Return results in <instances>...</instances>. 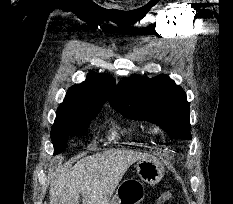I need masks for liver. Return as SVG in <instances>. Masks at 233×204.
I'll use <instances>...</instances> for the list:
<instances>
[{
  "mask_svg": "<svg viewBox=\"0 0 233 204\" xmlns=\"http://www.w3.org/2000/svg\"><path fill=\"white\" fill-rule=\"evenodd\" d=\"M147 156L132 150H107L84 157L67 172L53 173L50 204H108L127 169Z\"/></svg>",
  "mask_w": 233,
  "mask_h": 204,
  "instance_id": "1",
  "label": "liver"
}]
</instances>
